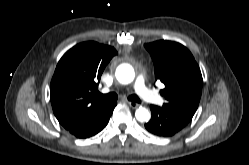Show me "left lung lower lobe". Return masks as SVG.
Returning <instances> with one entry per match:
<instances>
[{"instance_id":"left-lung-lower-lobe-1","label":"left lung lower lobe","mask_w":249,"mask_h":165,"mask_svg":"<svg viewBox=\"0 0 249 165\" xmlns=\"http://www.w3.org/2000/svg\"><path fill=\"white\" fill-rule=\"evenodd\" d=\"M150 109L152 117L145 127L149 132L162 137L173 136L192 119L191 116L172 109L155 105H151Z\"/></svg>"}]
</instances>
